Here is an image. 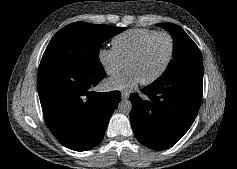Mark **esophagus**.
<instances>
[{
    "label": "esophagus",
    "instance_id": "obj_1",
    "mask_svg": "<svg viewBox=\"0 0 237 169\" xmlns=\"http://www.w3.org/2000/svg\"><path fill=\"white\" fill-rule=\"evenodd\" d=\"M129 97H130V93L129 92H122L121 93L122 100H127Z\"/></svg>",
    "mask_w": 237,
    "mask_h": 169
}]
</instances>
